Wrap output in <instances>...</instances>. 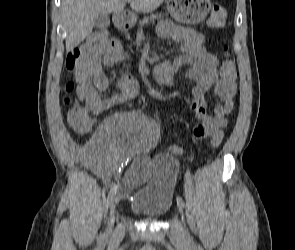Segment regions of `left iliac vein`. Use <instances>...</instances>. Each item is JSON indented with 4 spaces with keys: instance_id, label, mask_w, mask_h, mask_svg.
<instances>
[{
    "instance_id": "1",
    "label": "left iliac vein",
    "mask_w": 295,
    "mask_h": 250,
    "mask_svg": "<svg viewBox=\"0 0 295 250\" xmlns=\"http://www.w3.org/2000/svg\"><path fill=\"white\" fill-rule=\"evenodd\" d=\"M178 208H179L180 213H183V207L180 204H178Z\"/></svg>"
}]
</instances>
